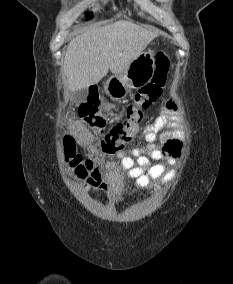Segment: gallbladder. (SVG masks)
Masks as SVG:
<instances>
[{
    "label": "gallbladder",
    "instance_id": "gallbladder-1",
    "mask_svg": "<svg viewBox=\"0 0 233 284\" xmlns=\"http://www.w3.org/2000/svg\"><path fill=\"white\" fill-rule=\"evenodd\" d=\"M88 92L86 89L79 90L75 92L73 96V101L76 103H81L86 100Z\"/></svg>",
    "mask_w": 233,
    "mask_h": 284
}]
</instances>
